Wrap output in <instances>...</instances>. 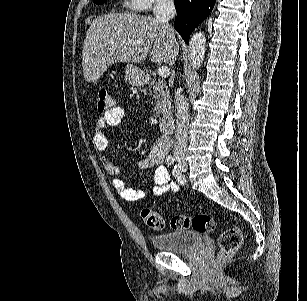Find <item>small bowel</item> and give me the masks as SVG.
Segmentation results:
<instances>
[{"instance_id": "obj_1", "label": "small bowel", "mask_w": 307, "mask_h": 301, "mask_svg": "<svg viewBox=\"0 0 307 301\" xmlns=\"http://www.w3.org/2000/svg\"><path fill=\"white\" fill-rule=\"evenodd\" d=\"M124 117L125 111L122 107L111 106L98 120L92 134V142L98 151L104 152L107 148L106 127L119 125ZM169 148V141L162 138L151 148L148 155L140 161L142 168H154V175L146 187L139 190L129 188L121 179L119 166L109 160L108 157H103L104 167L107 173L113 178V186L121 198L129 202H134L144 198L148 192L158 197L169 191L174 193L179 191L178 184L170 182L169 173L163 165V160Z\"/></svg>"}]
</instances>
